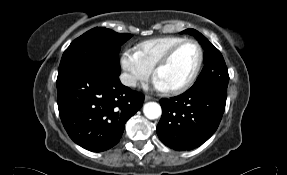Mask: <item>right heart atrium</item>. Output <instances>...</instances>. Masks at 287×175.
I'll use <instances>...</instances> for the list:
<instances>
[{
    "instance_id": "obj_1",
    "label": "right heart atrium",
    "mask_w": 287,
    "mask_h": 175,
    "mask_svg": "<svg viewBox=\"0 0 287 175\" xmlns=\"http://www.w3.org/2000/svg\"><path fill=\"white\" fill-rule=\"evenodd\" d=\"M120 66L124 72L122 81L129 87L149 79L152 69L149 68L135 51L125 50L120 56Z\"/></svg>"
}]
</instances>
